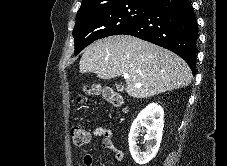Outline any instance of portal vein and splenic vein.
Instances as JSON below:
<instances>
[{"instance_id": "obj_1", "label": "portal vein and splenic vein", "mask_w": 227, "mask_h": 166, "mask_svg": "<svg viewBox=\"0 0 227 166\" xmlns=\"http://www.w3.org/2000/svg\"><path fill=\"white\" fill-rule=\"evenodd\" d=\"M124 79H128V75H124Z\"/></svg>"}]
</instances>
